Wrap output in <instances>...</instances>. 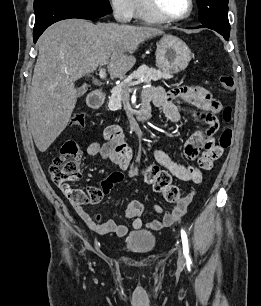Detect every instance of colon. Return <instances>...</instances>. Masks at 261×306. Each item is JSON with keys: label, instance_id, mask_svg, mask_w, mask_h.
<instances>
[{"label": "colon", "instance_id": "colon-1", "mask_svg": "<svg viewBox=\"0 0 261 306\" xmlns=\"http://www.w3.org/2000/svg\"><path fill=\"white\" fill-rule=\"evenodd\" d=\"M220 85L224 90H232L235 86L234 78L230 75H223L219 79ZM231 108L223 110V119L226 123L231 120ZM71 125L74 127L85 126V116L77 113L72 117ZM233 139V132L230 126L223 129L219 137V146L223 149L228 148ZM81 156L82 152L78 144L73 140L65 141L60 153L54 158L50 166V177L52 181L61 188L68 190L69 197L81 205L97 204L101 201L103 193L100 188L91 187L86 191L73 190L69 187V182L77 181L81 177ZM144 180L150 184L156 192L163 194L168 202H176L181 199L179 189L171 184V176L168 172L161 170L157 165L151 164L142 169ZM120 175L113 173L110 180L118 181Z\"/></svg>", "mask_w": 261, "mask_h": 306}]
</instances>
